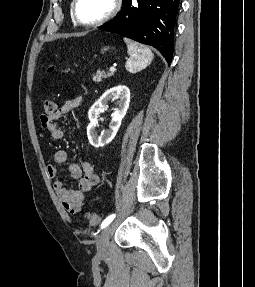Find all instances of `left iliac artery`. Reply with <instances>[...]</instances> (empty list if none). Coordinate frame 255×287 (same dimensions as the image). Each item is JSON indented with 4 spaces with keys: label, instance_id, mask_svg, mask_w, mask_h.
Segmentation results:
<instances>
[{
    "label": "left iliac artery",
    "instance_id": "1",
    "mask_svg": "<svg viewBox=\"0 0 255 287\" xmlns=\"http://www.w3.org/2000/svg\"><path fill=\"white\" fill-rule=\"evenodd\" d=\"M115 218V214L113 215H110L108 216L101 224V228H105L106 226H108L112 221L113 219Z\"/></svg>",
    "mask_w": 255,
    "mask_h": 287
}]
</instances>
